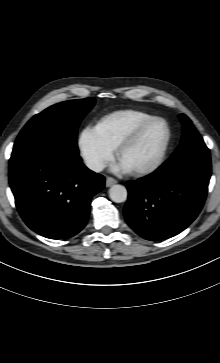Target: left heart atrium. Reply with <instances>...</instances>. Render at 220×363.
I'll return each instance as SVG.
<instances>
[{"mask_svg":"<svg viewBox=\"0 0 220 363\" xmlns=\"http://www.w3.org/2000/svg\"><path fill=\"white\" fill-rule=\"evenodd\" d=\"M112 170L116 173H127L131 171L130 168L120 160L112 166Z\"/></svg>","mask_w":220,"mask_h":363,"instance_id":"left-heart-atrium-1","label":"left heart atrium"}]
</instances>
